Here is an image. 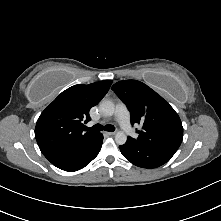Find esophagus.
Wrapping results in <instances>:
<instances>
[{
  "label": "esophagus",
  "mask_w": 221,
  "mask_h": 221,
  "mask_svg": "<svg viewBox=\"0 0 221 221\" xmlns=\"http://www.w3.org/2000/svg\"><path fill=\"white\" fill-rule=\"evenodd\" d=\"M106 135L113 136V135H115V132H106Z\"/></svg>",
  "instance_id": "obj_1"
}]
</instances>
